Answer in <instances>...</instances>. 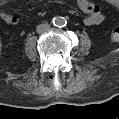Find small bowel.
<instances>
[{
    "label": "small bowel",
    "mask_w": 119,
    "mask_h": 119,
    "mask_svg": "<svg viewBox=\"0 0 119 119\" xmlns=\"http://www.w3.org/2000/svg\"><path fill=\"white\" fill-rule=\"evenodd\" d=\"M78 6L83 12L87 13V16L84 18L85 25L94 26L101 24L104 21V15L97 3L89 0H78ZM72 13L75 14L76 11H72ZM0 17L6 24L9 25H16L19 22L16 16L7 12H1Z\"/></svg>",
    "instance_id": "obj_1"
}]
</instances>
